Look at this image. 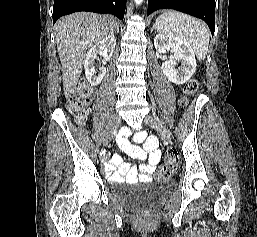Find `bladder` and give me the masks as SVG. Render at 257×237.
Wrapping results in <instances>:
<instances>
[{
  "mask_svg": "<svg viewBox=\"0 0 257 237\" xmlns=\"http://www.w3.org/2000/svg\"><path fill=\"white\" fill-rule=\"evenodd\" d=\"M169 191L166 182H154L142 190H130L120 200L132 208H153L157 206Z\"/></svg>",
  "mask_w": 257,
  "mask_h": 237,
  "instance_id": "1",
  "label": "bladder"
}]
</instances>
